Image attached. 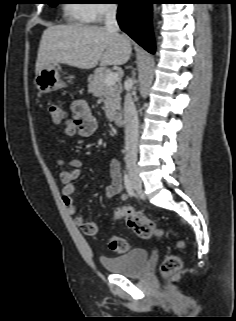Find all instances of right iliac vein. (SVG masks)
Here are the masks:
<instances>
[{
    "instance_id": "obj_1",
    "label": "right iliac vein",
    "mask_w": 236,
    "mask_h": 321,
    "mask_svg": "<svg viewBox=\"0 0 236 321\" xmlns=\"http://www.w3.org/2000/svg\"><path fill=\"white\" fill-rule=\"evenodd\" d=\"M128 172L131 178V182L133 184L134 189L137 191V193H141L142 191V181L138 175V167L134 160L129 159L126 162Z\"/></svg>"
}]
</instances>
